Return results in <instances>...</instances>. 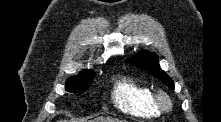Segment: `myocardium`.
Instances as JSON below:
<instances>
[{
  "label": "myocardium",
  "mask_w": 221,
  "mask_h": 122,
  "mask_svg": "<svg viewBox=\"0 0 221 122\" xmlns=\"http://www.w3.org/2000/svg\"><path fill=\"white\" fill-rule=\"evenodd\" d=\"M153 100L156 107L161 112H168L173 107V100L170 95L163 89H158L153 92Z\"/></svg>",
  "instance_id": "1"
}]
</instances>
